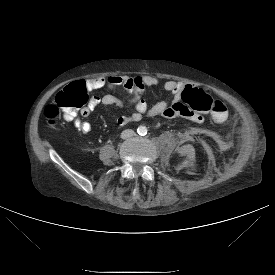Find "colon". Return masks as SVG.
<instances>
[{"mask_svg": "<svg viewBox=\"0 0 275 275\" xmlns=\"http://www.w3.org/2000/svg\"><path fill=\"white\" fill-rule=\"evenodd\" d=\"M181 98L194 114L209 113L218 123H223L228 119L227 104L201 89L188 87L182 92ZM87 103L85 86L82 82H74L60 91L53 103L45 107L44 117L50 123H55L60 119L70 120L78 111H82Z\"/></svg>", "mask_w": 275, "mask_h": 275, "instance_id": "obj_1", "label": "colon"}]
</instances>
